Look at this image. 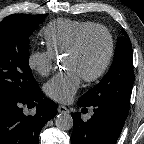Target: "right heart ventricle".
<instances>
[{
	"mask_svg": "<svg viewBox=\"0 0 144 144\" xmlns=\"http://www.w3.org/2000/svg\"><path fill=\"white\" fill-rule=\"evenodd\" d=\"M96 23L83 20L57 19L43 30L46 47L55 55L65 53L83 29Z\"/></svg>",
	"mask_w": 144,
	"mask_h": 144,
	"instance_id": "obj_1",
	"label": "right heart ventricle"
}]
</instances>
